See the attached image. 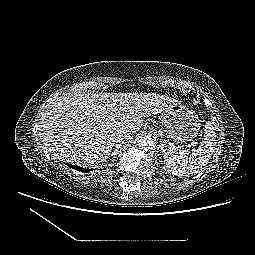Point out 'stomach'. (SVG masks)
<instances>
[{
    "mask_svg": "<svg viewBox=\"0 0 255 255\" xmlns=\"http://www.w3.org/2000/svg\"><path fill=\"white\" fill-rule=\"evenodd\" d=\"M163 124L168 137L175 142L192 141L200 130L198 115L176 101L163 112Z\"/></svg>",
    "mask_w": 255,
    "mask_h": 255,
    "instance_id": "1",
    "label": "stomach"
}]
</instances>
